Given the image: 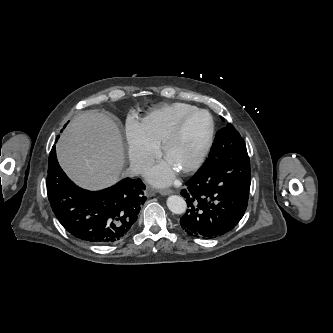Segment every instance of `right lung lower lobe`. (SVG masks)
Returning <instances> with one entry per match:
<instances>
[{"label": "right lung lower lobe", "instance_id": "right-lung-lower-lobe-1", "mask_svg": "<svg viewBox=\"0 0 333 333\" xmlns=\"http://www.w3.org/2000/svg\"><path fill=\"white\" fill-rule=\"evenodd\" d=\"M46 184L59 222L73 237L93 244H110L129 233L147 199L140 179L125 178L95 192L79 188L59 166L55 146L49 155Z\"/></svg>", "mask_w": 333, "mask_h": 333}]
</instances>
